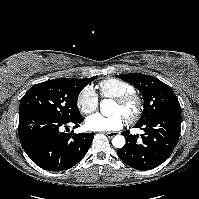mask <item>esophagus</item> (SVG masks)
Returning a JSON list of instances; mask_svg holds the SVG:
<instances>
[{
  "label": "esophagus",
  "mask_w": 199,
  "mask_h": 199,
  "mask_svg": "<svg viewBox=\"0 0 199 199\" xmlns=\"http://www.w3.org/2000/svg\"><path fill=\"white\" fill-rule=\"evenodd\" d=\"M105 134H106L109 138H112V137H114L115 135H117V132H105Z\"/></svg>",
  "instance_id": "1"
}]
</instances>
